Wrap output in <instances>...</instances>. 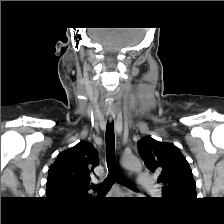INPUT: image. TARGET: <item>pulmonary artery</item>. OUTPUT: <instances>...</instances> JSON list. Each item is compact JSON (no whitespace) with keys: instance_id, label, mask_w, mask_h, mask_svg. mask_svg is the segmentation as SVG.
<instances>
[{"instance_id":"obj_1","label":"pulmonary artery","mask_w":224,"mask_h":224,"mask_svg":"<svg viewBox=\"0 0 224 224\" xmlns=\"http://www.w3.org/2000/svg\"><path fill=\"white\" fill-rule=\"evenodd\" d=\"M138 181L142 187L147 189H151L156 186V184L154 183L153 177L146 173H140L138 177Z\"/></svg>"}]
</instances>
